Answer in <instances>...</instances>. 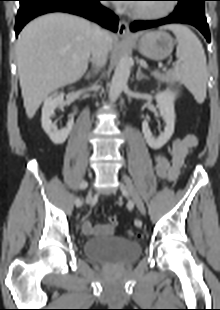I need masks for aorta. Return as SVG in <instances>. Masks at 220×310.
Here are the masks:
<instances>
[{
	"label": "aorta",
	"instance_id": "1",
	"mask_svg": "<svg viewBox=\"0 0 220 310\" xmlns=\"http://www.w3.org/2000/svg\"><path fill=\"white\" fill-rule=\"evenodd\" d=\"M131 70V59L128 55L121 57L119 63L116 66L114 75L112 77L110 91H109V100L111 103H114L120 96L122 90L127 85V81L130 75Z\"/></svg>",
	"mask_w": 220,
	"mask_h": 310
}]
</instances>
